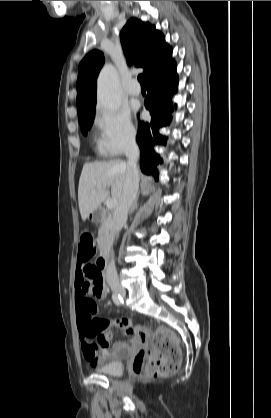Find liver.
Here are the masks:
<instances>
[{
    "label": "liver",
    "mask_w": 271,
    "mask_h": 418,
    "mask_svg": "<svg viewBox=\"0 0 271 418\" xmlns=\"http://www.w3.org/2000/svg\"><path fill=\"white\" fill-rule=\"evenodd\" d=\"M126 174L127 163L122 160L84 164L78 187L79 209L83 221L109 197V187L112 199L119 201Z\"/></svg>",
    "instance_id": "obj_1"
}]
</instances>
